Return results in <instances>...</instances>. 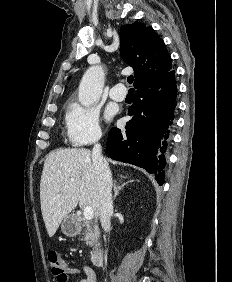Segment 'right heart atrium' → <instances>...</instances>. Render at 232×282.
<instances>
[{"instance_id": "obj_1", "label": "right heart atrium", "mask_w": 232, "mask_h": 282, "mask_svg": "<svg viewBox=\"0 0 232 282\" xmlns=\"http://www.w3.org/2000/svg\"><path fill=\"white\" fill-rule=\"evenodd\" d=\"M66 132L69 142L76 147L98 141L102 135L98 110L72 103L66 114Z\"/></svg>"}]
</instances>
